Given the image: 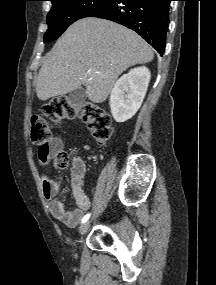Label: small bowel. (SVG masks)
Instances as JSON below:
<instances>
[{
  "instance_id": "c3829d8e",
  "label": "small bowel",
  "mask_w": 216,
  "mask_h": 285,
  "mask_svg": "<svg viewBox=\"0 0 216 285\" xmlns=\"http://www.w3.org/2000/svg\"><path fill=\"white\" fill-rule=\"evenodd\" d=\"M63 148V141L60 138H53L46 149H39V160L46 163L51 157L61 153ZM85 172V162L81 158H75L70 172L72 195L77 204V208L74 210H68L63 201L56 199L60 189L59 184L47 176L42 178V190L44 197L49 201L51 215L71 228L78 225L83 213L91 205L83 190Z\"/></svg>"
}]
</instances>
